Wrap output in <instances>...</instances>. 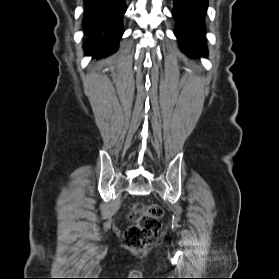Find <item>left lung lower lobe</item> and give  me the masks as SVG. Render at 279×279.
<instances>
[{"label": "left lung lower lobe", "instance_id": "left-lung-lower-lobe-1", "mask_svg": "<svg viewBox=\"0 0 279 279\" xmlns=\"http://www.w3.org/2000/svg\"><path fill=\"white\" fill-rule=\"evenodd\" d=\"M175 36L183 52L188 56L207 53L204 17L208 0H173Z\"/></svg>", "mask_w": 279, "mask_h": 279}]
</instances>
